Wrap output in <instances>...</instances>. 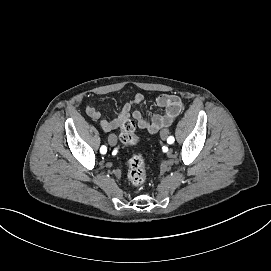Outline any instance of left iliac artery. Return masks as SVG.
<instances>
[{
    "label": "left iliac artery",
    "mask_w": 271,
    "mask_h": 271,
    "mask_svg": "<svg viewBox=\"0 0 271 271\" xmlns=\"http://www.w3.org/2000/svg\"><path fill=\"white\" fill-rule=\"evenodd\" d=\"M167 142L169 144L173 143L174 142V137L170 136L168 139H167Z\"/></svg>",
    "instance_id": "left-iliac-artery-1"
}]
</instances>
